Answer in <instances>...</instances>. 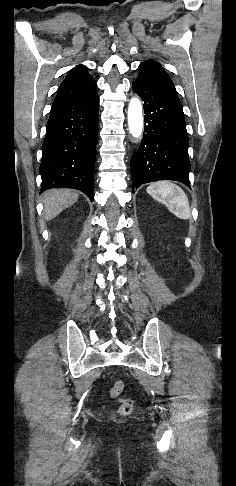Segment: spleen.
I'll return each mask as SVG.
<instances>
[{"label": "spleen", "mask_w": 236, "mask_h": 486, "mask_svg": "<svg viewBox=\"0 0 236 486\" xmlns=\"http://www.w3.org/2000/svg\"><path fill=\"white\" fill-rule=\"evenodd\" d=\"M147 193L156 201L166 205L180 219L191 215L189 201L185 192L176 184L168 181L153 183L147 187Z\"/></svg>", "instance_id": "1"}]
</instances>
